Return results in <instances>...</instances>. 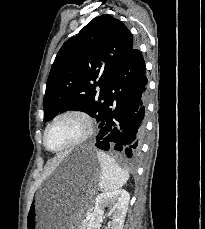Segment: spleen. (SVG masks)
<instances>
[{"label": "spleen", "mask_w": 205, "mask_h": 229, "mask_svg": "<svg viewBox=\"0 0 205 229\" xmlns=\"http://www.w3.org/2000/svg\"><path fill=\"white\" fill-rule=\"evenodd\" d=\"M97 158L101 166L99 186L103 191H114L129 179L127 170L121 168L113 158L104 152H97Z\"/></svg>", "instance_id": "obj_1"}]
</instances>
